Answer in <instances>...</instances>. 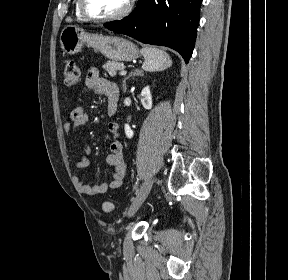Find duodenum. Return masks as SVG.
Masks as SVG:
<instances>
[{
  "mask_svg": "<svg viewBox=\"0 0 288 280\" xmlns=\"http://www.w3.org/2000/svg\"><path fill=\"white\" fill-rule=\"evenodd\" d=\"M117 106H118V99H112L109 102V113L114 114L117 110Z\"/></svg>",
  "mask_w": 288,
  "mask_h": 280,
  "instance_id": "1",
  "label": "duodenum"
}]
</instances>
